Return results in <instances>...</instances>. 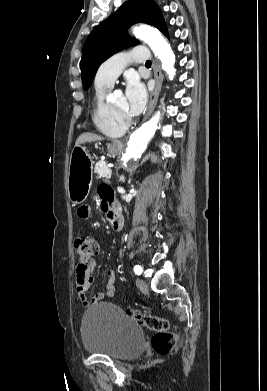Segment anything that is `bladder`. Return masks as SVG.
<instances>
[{
  "instance_id": "1",
  "label": "bladder",
  "mask_w": 267,
  "mask_h": 391,
  "mask_svg": "<svg viewBox=\"0 0 267 391\" xmlns=\"http://www.w3.org/2000/svg\"><path fill=\"white\" fill-rule=\"evenodd\" d=\"M82 345L90 354L129 360L139 356L145 344L141 327L111 303L97 304L84 314Z\"/></svg>"
}]
</instances>
